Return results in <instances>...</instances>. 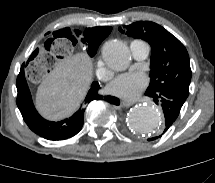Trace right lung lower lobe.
Returning a JSON list of instances; mask_svg holds the SVG:
<instances>
[{"label":"right lung lower lobe","mask_w":215,"mask_h":183,"mask_svg":"<svg viewBox=\"0 0 215 183\" xmlns=\"http://www.w3.org/2000/svg\"><path fill=\"white\" fill-rule=\"evenodd\" d=\"M16 84L18 91L16 103L24 121L34 133L48 140H64L76 135L82 129L86 106L93 100H103L111 104L119 105L118 98L100 95L98 92L100 86L98 82L94 81L80 108L70 118L59 122L47 121L38 114L33 105L24 76L23 66L17 77Z\"/></svg>","instance_id":"1"}]
</instances>
